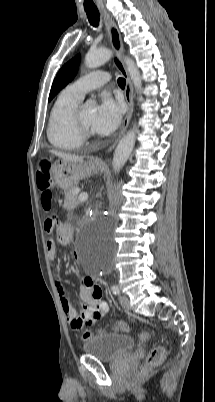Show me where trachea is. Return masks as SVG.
I'll return each instance as SVG.
<instances>
[{
  "label": "trachea",
  "instance_id": "3493384b",
  "mask_svg": "<svg viewBox=\"0 0 215 402\" xmlns=\"http://www.w3.org/2000/svg\"><path fill=\"white\" fill-rule=\"evenodd\" d=\"M85 11H86L90 24L94 27H98L99 21H100L98 10L97 9H85ZM117 82L121 88H124L126 85V80L123 78H118Z\"/></svg>",
  "mask_w": 215,
  "mask_h": 402
}]
</instances>
